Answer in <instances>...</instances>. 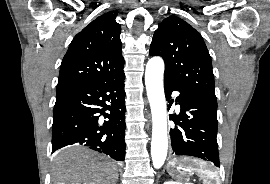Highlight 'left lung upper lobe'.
Instances as JSON below:
<instances>
[{
	"mask_svg": "<svg viewBox=\"0 0 270 184\" xmlns=\"http://www.w3.org/2000/svg\"><path fill=\"white\" fill-rule=\"evenodd\" d=\"M151 56H161L165 76L189 87L217 107L211 57L202 36L177 16L165 18L155 31Z\"/></svg>",
	"mask_w": 270,
	"mask_h": 184,
	"instance_id": "obj_1",
	"label": "left lung upper lobe"
}]
</instances>
